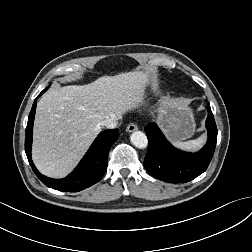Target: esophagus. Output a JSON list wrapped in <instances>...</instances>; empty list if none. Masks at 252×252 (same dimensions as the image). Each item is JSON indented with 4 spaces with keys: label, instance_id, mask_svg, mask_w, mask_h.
Listing matches in <instances>:
<instances>
[{
    "label": "esophagus",
    "instance_id": "1",
    "mask_svg": "<svg viewBox=\"0 0 252 252\" xmlns=\"http://www.w3.org/2000/svg\"><path fill=\"white\" fill-rule=\"evenodd\" d=\"M136 130H138V127H137V125L136 124H134V123H130L128 126H127V128H126V131L127 132H133V131H136Z\"/></svg>",
    "mask_w": 252,
    "mask_h": 252
}]
</instances>
